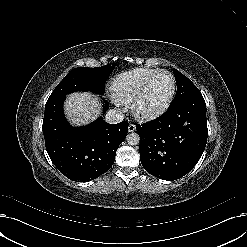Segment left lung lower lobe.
<instances>
[{"instance_id": "1", "label": "left lung lower lobe", "mask_w": 247, "mask_h": 247, "mask_svg": "<svg viewBox=\"0 0 247 247\" xmlns=\"http://www.w3.org/2000/svg\"><path fill=\"white\" fill-rule=\"evenodd\" d=\"M144 169L162 180L186 175L207 143L206 103L201 95L169 107L158 118L136 125Z\"/></svg>"}]
</instances>
